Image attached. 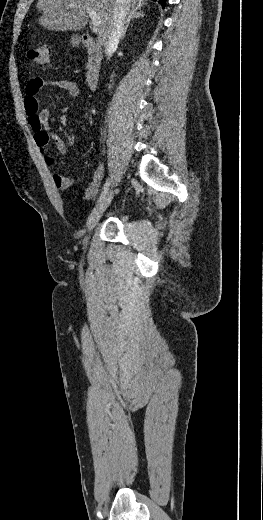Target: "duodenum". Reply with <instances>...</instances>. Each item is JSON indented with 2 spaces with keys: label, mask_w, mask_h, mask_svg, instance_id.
<instances>
[{
  "label": "duodenum",
  "mask_w": 263,
  "mask_h": 520,
  "mask_svg": "<svg viewBox=\"0 0 263 520\" xmlns=\"http://www.w3.org/2000/svg\"><path fill=\"white\" fill-rule=\"evenodd\" d=\"M83 45L88 54L85 73L86 83L90 89L94 90L99 81L103 59L102 50L88 35L84 36Z\"/></svg>",
  "instance_id": "1"
}]
</instances>
